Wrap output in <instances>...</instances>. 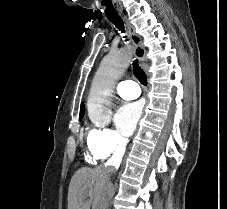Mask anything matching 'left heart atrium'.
I'll use <instances>...</instances> for the list:
<instances>
[{"instance_id": "left-heart-atrium-1", "label": "left heart atrium", "mask_w": 227, "mask_h": 209, "mask_svg": "<svg viewBox=\"0 0 227 209\" xmlns=\"http://www.w3.org/2000/svg\"><path fill=\"white\" fill-rule=\"evenodd\" d=\"M144 104L142 101H126L118 108L116 125L124 136H131L143 114Z\"/></svg>"}]
</instances>
